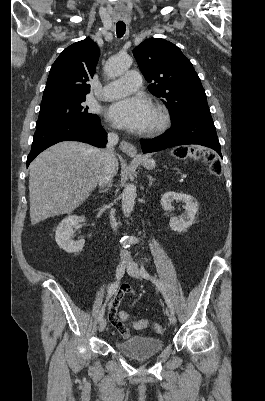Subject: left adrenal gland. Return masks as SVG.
<instances>
[{
	"mask_svg": "<svg viewBox=\"0 0 265 401\" xmlns=\"http://www.w3.org/2000/svg\"><path fill=\"white\" fill-rule=\"evenodd\" d=\"M147 178H149L148 186H152V182H153V180H155V178H153V176H151V174H147Z\"/></svg>",
	"mask_w": 265,
	"mask_h": 401,
	"instance_id": "obj_1",
	"label": "left adrenal gland"
}]
</instances>
